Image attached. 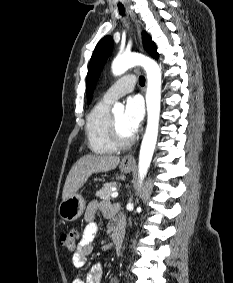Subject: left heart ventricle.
I'll return each instance as SVG.
<instances>
[{
    "instance_id": "b2bd125f",
    "label": "left heart ventricle",
    "mask_w": 233,
    "mask_h": 283,
    "mask_svg": "<svg viewBox=\"0 0 233 283\" xmlns=\"http://www.w3.org/2000/svg\"><path fill=\"white\" fill-rule=\"evenodd\" d=\"M114 118L116 120L117 129L120 137L123 139L130 137L132 134L127 130L124 123V111H119L115 113Z\"/></svg>"
}]
</instances>
